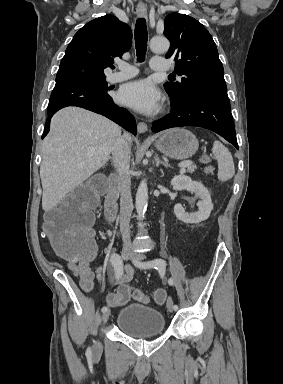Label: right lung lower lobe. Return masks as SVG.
Here are the masks:
<instances>
[{"label": "right lung lower lobe", "instance_id": "98d812e1", "mask_svg": "<svg viewBox=\"0 0 283 384\" xmlns=\"http://www.w3.org/2000/svg\"><path fill=\"white\" fill-rule=\"evenodd\" d=\"M69 106H77V107L85 108L87 110L106 116L110 120L122 126L127 131L133 133L134 135L137 134V127H136V123L133 115L128 110L115 105L111 97L107 99L85 101L81 103L72 104ZM61 108L63 107L48 108L49 117L46 121L42 138H44L49 132L51 117L55 112H57Z\"/></svg>", "mask_w": 283, "mask_h": 384}]
</instances>
